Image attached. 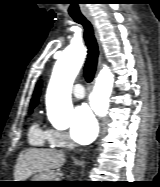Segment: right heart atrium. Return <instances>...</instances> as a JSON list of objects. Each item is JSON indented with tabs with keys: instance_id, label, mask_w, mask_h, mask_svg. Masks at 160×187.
Masks as SVG:
<instances>
[{
	"instance_id": "right-heart-atrium-1",
	"label": "right heart atrium",
	"mask_w": 160,
	"mask_h": 187,
	"mask_svg": "<svg viewBox=\"0 0 160 187\" xmlns=\"http://www.w3.org/2000/svg\"><path fill=\"white\" fill-rule=\"evenodd\" d=\"M47 134L49 143L52 146L60 148L71 146L69 136L66 133L55 129H49L47 130Z\"/></svg>"
}]
</instances>
